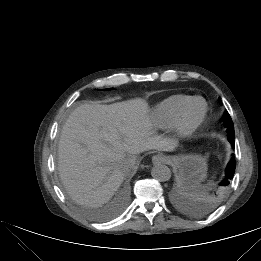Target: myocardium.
Masks as SVG:
<instances>
[{
    "instance_id": "f54148a6",
    "label": "myocardium",
    "mask_w": 261,
    "mask_h": 261,
    "mask_svg": "<svg viewBox=\"0 0 261 261\" xmlns=\"http://www.w3.org/2000/svg\"><path fill=\"white\" fill-rule=\"evenodd\" d=\"M201 102L203 104L202 111L194 118L188 117L191 107L196 103ZM208 115V104L201 97H193L180 111L178 117L174 122V130L176 135L181 139L190 138L204 123Z\"/></svg>"
}]
</instances>
